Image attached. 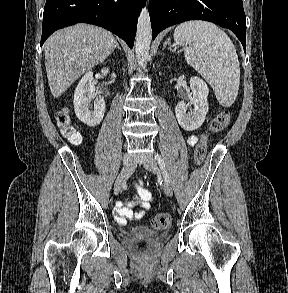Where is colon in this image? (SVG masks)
Here are the masks:
<instances>
[{
    "label": "colon",
    "instance_id": "obj_1",
    "mask_svg": "<svg viewBox=\"0 0 288 293\" xmlns=\"http://www.w3.org/2000/svg\"><path fill=\"white\" fill-rule=\"evenodd\" d=\"M57 124L61 129L62 134L74 145L81 143V135L74 128L72 119L67 111H61L56 117ZM231 120V114L228 111H222L217 114L210 122L208 130L200 138L194 150V161L196 164H201L206 156L207 152V138L210 134L218 133L225 129ZM130 220L126 218V221ZM154 227L158 229H166L171 224V216L168 213H158L154 216L152 221ZM138 249L143 251L145 249V243L141 242L138 245Z\"/></svg>",
    "mask_w": 288,
    "mask_h": 293
}]
</instances>
